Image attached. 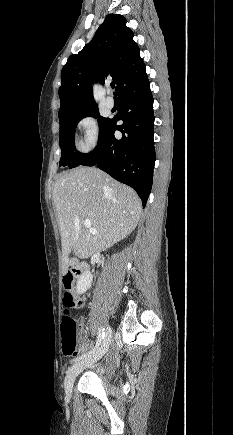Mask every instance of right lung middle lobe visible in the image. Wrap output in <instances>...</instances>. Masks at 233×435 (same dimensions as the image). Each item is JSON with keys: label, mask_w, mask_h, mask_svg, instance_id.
<instances>
[{"label": "right lung middle lobe", "mask_w": 233, "mask_h": 435, "mask_svg": "<svg viewBox=\"0 0 233 435\" xmlns=\"http://www.w3.org/2000/svg\"><path fill=\"white\" fill-rule=\"evenodd\" d=\"M87 116L98 118L99 140L101 139L104 131L109 125L110 119L99 117L97 107L78 115L60 117L59 118V122H60L59 141H60V148H61V158H60L59 166H68L69 168L77 167L89 155V153L82 154L78 151H75L76 148L74 143L75 128L78 122Z\"/></svg>", "instance_id": "dd1d6c3e"}]
</instances>
